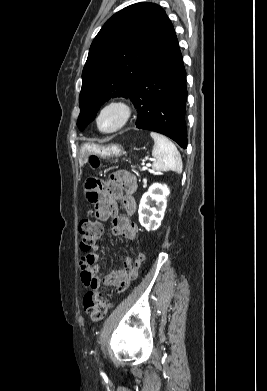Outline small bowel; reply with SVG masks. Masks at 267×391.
<instances>
[{
    "mask_svg": "<svg viewBox=\"0 0 267 391\" xmlns=\"http://www.w3.org/2000/svg\"><path fill=\"white\" fill-rule=\"evenodd\" d=\"M137 190L136 177L127 172H117L111 181L101 183L91 179L86 183L87 200L94 206L96 220L112 221V233L117 236L139 242L140 231L136 223L128 216L136 212L134 194ZM118 203L123 206L126 215L119 213ZM145 259V254L139 251L134 260L126 256L119 267L112 268L102 276L100 257L97 253H88L80 258L81 280L91 289H98L101 283L112 286L116 292L126 290L132 280L137 277L138 269Z\"/></svg>",
    "mask_w": 267,
    "mask_h": 391,
    "instance_id": "c3829d8e",
    "label": "small bowel"
}]
</instances>
